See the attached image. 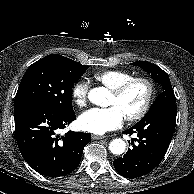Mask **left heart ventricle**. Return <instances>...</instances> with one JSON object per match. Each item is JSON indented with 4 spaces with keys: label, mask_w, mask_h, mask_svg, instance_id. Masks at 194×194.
Returning <instances> with one entry per match:
<instances>
[{
    "label": "left heart ventricle",
    "mask_w": 194,
    "mask_h": 194,
    "mask_svg": "<svg viewBox=\"0 0 194 194\" xmlns=\"http://www.w3.org/2000/svg\"><path fill=\"white\" fill-rule=\"evenodd\" d=\"M146 95V87L142 83H135L120 97L110 94L108 105L117 107L124 117L129 116L142 107Z\"/></svg>",
    "instance_id": "left-heart-ventricle-1"
}]
</instances>
